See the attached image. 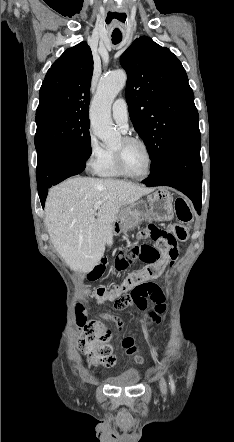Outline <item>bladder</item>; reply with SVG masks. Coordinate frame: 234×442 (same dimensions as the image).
<instances>
[{
	"label": "bladder",
	"instance_id": "obj_1",
	"mask_svg": "<svg viewBox=\"0 0 234 442\" xmlns=\"http://www.w3.org/2000/svg\"><path fill=\"white\" fill-rule=\"evenodd\" d=\"M141 375L138 369L131 367L118 376L111 377L108 382L119 387L134 386L140 381Z\"/></svg>",
	"mask_w": 234,
	"mask_h": 442
}]
</instances>
